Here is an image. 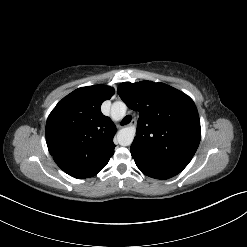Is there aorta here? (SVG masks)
I'll use <instances>...</instances> for the list:
<instances>
[{"mask_svg": "<svg viewBox=\"0 0 247 247\" xmlns=\"http://www.w3.org/2000/svg\"><path fill=\"white\" fill-rule=\"evenodd\" d=\"M127 106L122 101H117L112 104L111 117L115 121L122 120L125 117ZM134 127H125L119 130L117 134V141L122 146H129L132 144L135 137Z\"/></svg>", "mask_w": 247, "mask_h": 247, "instance_id": "obj_1", "label": "aorta"}]
</instances>
